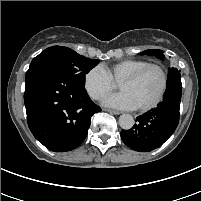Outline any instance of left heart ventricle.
I'll return each mask as SVG.
<instances>
[{
	"mask_svg": "<svg viewBox=\"0 0 201 201\" xmlns=\"http://www.w3.org/2000/svg\"><path fill=\"white\" fill-rule=\"evenodd\" d=\"M162 78L157 69H149L136 81L119 86L120 90L127 93L136 107L150 103L158 94Z\"/></svg>",
	"mask_w": 201,
	"mask_h": 201,
	"instance_id": "obj_1",
	"label": "left heart ventricle"
}]
</instances>
